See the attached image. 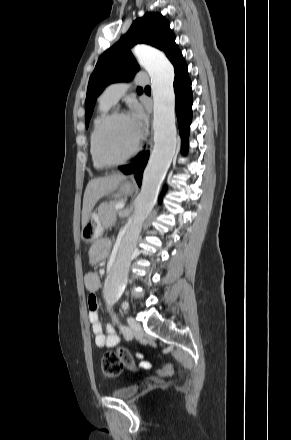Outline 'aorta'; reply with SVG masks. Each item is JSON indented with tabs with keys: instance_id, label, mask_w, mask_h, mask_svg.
Returning a JSON list of instances; mask_svg holds the SVG:
<instances>
[{
	"instance_id": "1",
	"label": "aorta",
	"mask_w": 291,
	"mask_h": 440,
	"mask_svg": "<svg viewBox=\"0 0 291 440\" xmlns=\"http://www.w3.org/2000/svg\"><path fill=\"white\" fill-rule=\"evenodd\" d=\"M133 53L151 77L154 147L143 173L134 215L125 225L114 248V260L104 286V296L108 301H116L125 290L131 255L143 223L154 207L177 146L174 67L162 52L151 47L138 45Z\"/></svg>"
}]
</instances>
